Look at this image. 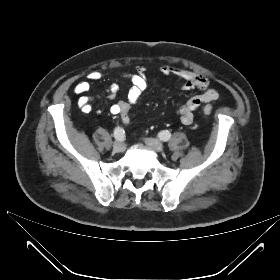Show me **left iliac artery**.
I'll list each match as a JSON object with an SVG mask.
<instances>
[{
	"instance_id": "left-iliac-artery-1",
	"label": "left iliac artery",
	"mask_w": 280,
	"mask_h": 280,
	"mask_svg": "<svg viewBox=\"0 0 280 280\" xmlns=\"http://www.w3.org/2000/svg\"><path fill=\"white\" fill-rule=\"evenodd\" d=\"M158 136L162 141H168L171 138V133L168 130H164L161 131Z\"/></svg>"
}]
</instances>
